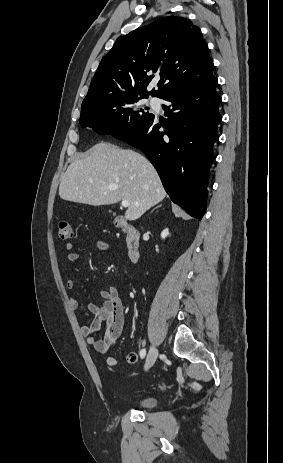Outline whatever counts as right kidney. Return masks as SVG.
<instances>
[{"mask_svg": "<svg viewBox=\"0 0 283 463\" xmlns=\"http://www.w3.org/2000/svg\"><path fill=\"white\" fill-rule=\"evenodd\" d=\"M168 233H169L168 229L163 230V231L161 232V238H162V239H165V238L167 237Z\"/></svg>", "mask_w": 283, "mask_h": 463, "instance_id": "right-kidney-1", "label": "right kidney"}]
</instances>
